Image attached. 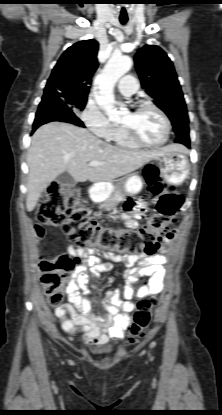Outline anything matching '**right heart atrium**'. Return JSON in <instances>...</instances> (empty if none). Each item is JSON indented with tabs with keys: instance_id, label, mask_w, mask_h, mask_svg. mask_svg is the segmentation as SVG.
Masks as SVG:
<instances>
[{
	"instance_id": "1",
	"label": "right heart atrium",
	"mask_w": 222,
	"mask_h": 415,
	"mask_svg": "<svg viewBox=\"0 0 222 415\" xmlns=\"http://www.w3.org/2000/svg\"><path fill=\"white\" fill-rule=\"evenodd\" d=\"M82 123L97 137L109 140L117 126L93 100H89L79 115Z\"/></svg>"
}]
</instances>
